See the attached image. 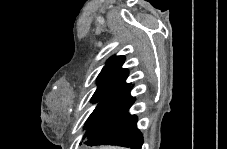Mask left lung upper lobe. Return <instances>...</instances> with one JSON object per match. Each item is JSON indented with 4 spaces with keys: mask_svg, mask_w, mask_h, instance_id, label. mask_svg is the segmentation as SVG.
Segmentation results:
<instances>
[{
    "mask_svg": "<svg viewBox=\"0 0 227 149\" xmlns=\"http://www.w3.org/2000/svg\"><path fill=\"white\" fill-rule=\"evenodd\" d=\"M124 60V56H114L107 61L100 72L97 78L98 87L91 99L93 103H99L85 123L87 130L83 139L113 109L131 86V83L125 82L128 76V70L121 68Z\"/></svg>",
    "mask_w": 227,
    "mask_h": 149,
    "instance_id": "left-lung-upper-lobe-1",
    "label": "left lung upper lobe"
}]
</instances>
